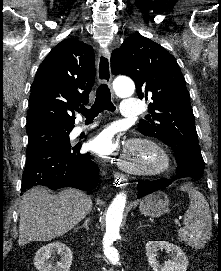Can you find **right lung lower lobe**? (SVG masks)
<instances>
[{"label": "right lung lower lobe", "instance_id": "obj_1", "mask_svg": "<svg viewBox=\"0 0 221 271\" xmlns=\"http://www.w3.org/2000/svg\"><path fill=\"white\" fill-rule=\"evenodd\" d=\"M81 145L50 148L27 156L21 192L33 186L51 190L74 187L92 190L97 186L99 168L89 154H80Z\"/></svg>", "mask_w": 221, "mask_h": 271}]
</instances>
